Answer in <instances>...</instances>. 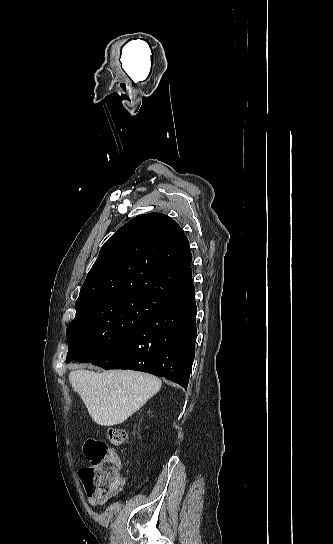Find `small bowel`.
I'll return each mask as SVG.
<instances>
[{
	"label": "small bowel",
	"mask_w": 333,
	"mask_h": 544,
	"mask_svg": "<svg viewBox=\"0 0 333 544\" xmlns=\"http://www.w3.org/2000/svg\"><path fill=\"white\" fill-rule=\"evenodd\" d=\"M124 481L110 490H96L93 492H87V501L93 507H99L104 505L110 499L118 495L123 491Z\"/></svg>",
	"instance_id": "c3829d8e"
}]
</instances>
